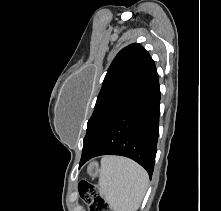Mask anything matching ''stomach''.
I'll return each instance as SVG.
<instances>
[{
	"mask_svg": "<svg viewBox=\"0 0 221 211\" xmlns=\"http://www.w3.org/2000/svg\"><path fill=\"white\" fill-rule=\"evenodd\" d=\"M87 173L92 177H96L100 173L98 164L96 162H92L91 164H89L87 168Z\"/></svg>",
	"mask_w": 221,
	"mask_h": 211,
	"instance_id": "stomach-1",
	"label": "stomach"
}]
</instances>
